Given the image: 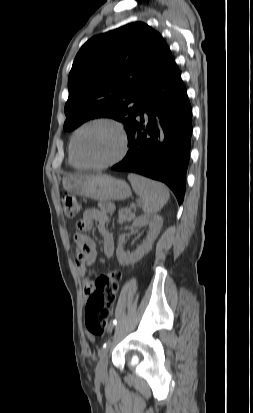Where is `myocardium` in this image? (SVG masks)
Listing matches in <instances>:
<instances>
[{
  "mask_svg": "<svg viewBox=\"0 0 253 413\" xmlns=\"http://www.w3.org/2000/svg\"><path fill=\"white\" fill-rule=\"evenodd\" d=\"M97 124H104V125L110 126L111 128L115 130L119 138V151L113 158L107 161L97 163V164H88V163L81 161L79 157L77 156L76 139L78 135L84 129L90 126H93V125H97ZM127 150H128V139H127V135H126L123 125L116 119L110 118V117H95V118H92L84 122L74 131L71 137V141H70V153H71L73 160L79 167L85 168V169H104V168L113 166L117 164L118 162H120L125 157Z\"/></svg>",
  "mask_w": 253,
  "mask_h": 413,
  "instance_id": "myocardium-1",
  "label": "myocardium"
}]
</instances>
